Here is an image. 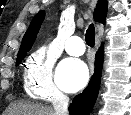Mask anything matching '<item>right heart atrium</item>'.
I'll return each mask as SVG.
<instances>
[{"mask_svg": "<svg viewBox=\"0 0 131 115\" xmlns=\"http://www.w3.org/2000/svg\"><path fill=\"white\" fill-rule=\"evenodd\" d=\"M54 64V56L43 47L34 51L26 60L23 81L26 91L33 98L43 101L65 98L53 79Z\"/></svg>", "mask_w": 131, "mask_h": 115, "instance_id": "d8ad5b80", "label": "right heart atrium"}]
</instances>
